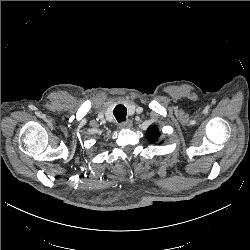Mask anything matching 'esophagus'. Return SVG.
<instances>
[{
	"label": "esophagus",
	"instance_id": "34e87169",
	"mask_svg": "<svg viewBox=\"0 0 250 250\" xmlns=\"http://www.w3.org/2000/svg\"><path fill=\"white\" fill-rule=\"evenodd\" d=\"M132 125H133L132 121L131 120H127L125 122L120 123L119 128L120 129H130L132 127Z\"/></svg>",
	"mask_w": 250,
	"mask_h": 250
}]
</instances>
